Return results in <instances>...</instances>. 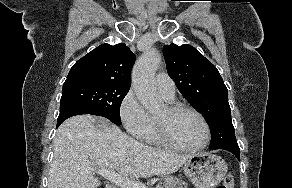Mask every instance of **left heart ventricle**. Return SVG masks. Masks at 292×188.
<instances>
[{"label": "left heart ventricle", "instance_id": "left-heart-ventricle-1", "mask_svg": "<svg viewBox=\"0 0 292 188\" xmlns=\"http://www.w3.org/2000/svg\"><path fill=\"white\" fill-rule=\"evenodd\" d=\"M156 118L167 123L171 136L181 145L194 147L203 142L205 129L201 120L191 112L170 115L164 108Z\"/></svg>", "mask_w": 292, "mask_h": 188}]
</instances>
